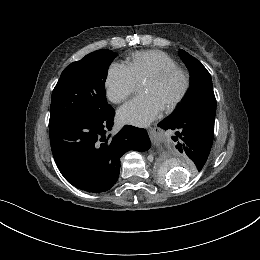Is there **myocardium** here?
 Wrapping results in <instances>:
<instances>
[{"label":"myocardium","instance_id":"obj_1","mask_svg":"<svg viewBox=\"0 0 260 260\" xmlns=\"http://www.w3.org/2000/svg\"><path fill=\"white\" fill-rule=\"evenodd\" d=\"M179 74L182 76L183 80H184V85L182 90L180 91V93L173 99L171 100L169 103H167L165 105L166 108L168 109H172L174 107H176L187 95L189 88H190V76L188 74V72L180 67H173V68H167L164 70L159 71L158 73L148 77L145 80L146 82H151V83H161L163 81H165L166 79H168L169 77Z\"/></svg>","mask_w":260,"mask_h":260}]
</instances>
